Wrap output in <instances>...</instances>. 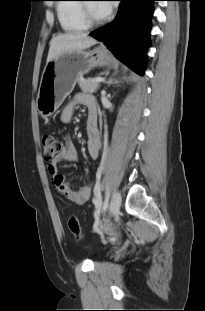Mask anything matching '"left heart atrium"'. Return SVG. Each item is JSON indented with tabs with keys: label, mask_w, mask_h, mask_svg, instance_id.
Here are the masks:
<instances>
[{
	"label": "left heart atrium",
	"mask_w": 205,
	"mask_h": 311,
	"mask_svg": "<svg viewBox=\"0 0 205 311\" xmlns=\"http://www.w3.org/2000/svg\"><path fill=\"white\" fill-rule=\"evenodd\" d=\"M102 2H112V1H100V3L97 4V8L102 16L108 15L112 9L113 5L108 3H102Z\"/></svg>",
	"instance_id": "left-heart-atrium-1"
}]
</instances>
